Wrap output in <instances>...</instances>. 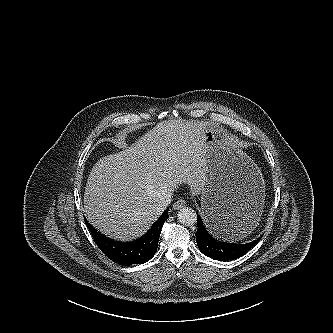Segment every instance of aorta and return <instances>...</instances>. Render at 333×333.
Wrapping results in <instances>:
<instances>
[{
	"label": "aorta",
	"mask_w": 333,
	"mask_h": 333,
	"mask_svg": "<svg viewBox=\"0 0 333 333\" xmlns=\"http://www.w3.org/2000/svg\"><path fill=\"white\" fill-rule=\"evenodd\" d=\"M178 220L185 226H191L197 221L196 211L190 207H183L178 212Z\"/></svg>",
	"instance_id": "762f6f07"
}]
</instances>
